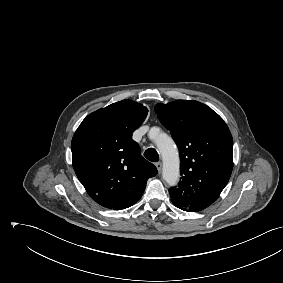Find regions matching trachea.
Listing matches in <instances>:
<instances>
[{"label": "trachea", "mask_w": 283, "mask_h": 283, "mask_svg": "<svg viewBox=\"0 0 283 283\" xmlns=\"http://www.w3.org/2000/svg\"><path fill=\"white\" fill-rule=\"evenodd\" d=\"M144 156L151 162L159 161V155L154 148H149L144 152Z\"/></svg>", "instance_id": "obj_1"}]
</instances>
